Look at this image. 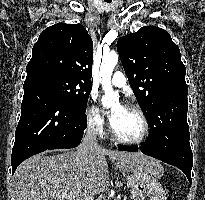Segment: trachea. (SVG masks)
Here are the masks:
<instances>
[{
  "mask_svg": "<svg viewBox=\"0 0 205 200\" xmlns=\"http://www.w3.org/2000/svg\"><path fill=\"white\" fill-rule=\"evenodd\" d=\"M107 3H110L111 2V0H105Z\"/></svg>",
  "mask_w": 205,
  "mask_h": 200,
  "instance_id": "obj_1",
  "label": "trachea"
}]
</instances>
